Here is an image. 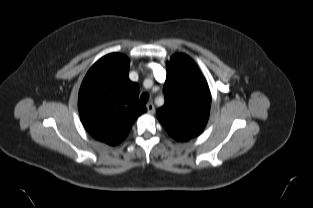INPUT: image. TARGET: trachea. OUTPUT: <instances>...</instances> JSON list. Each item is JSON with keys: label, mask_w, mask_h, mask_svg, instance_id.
I'll list each match as a JSON object with an SVG mask.
<instances>
[{"label": "trachea", "mask_w": 313, "mask_h": 208, "mask_svg": "<svg viewBox=\"0 0 313 208\" xmlns=\"http://www.w3.org/2000/svg\"><path fill=\"white\" fill-rule=\"evenodd\" d=\"M148 100H149V95H148L147 93H143V94L141 95V97H140V101H141L143 104H145V103L148 102Z\"/></svg>", "instance_id": "obj_1"}]
</instances>
